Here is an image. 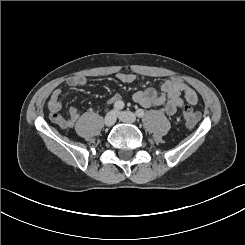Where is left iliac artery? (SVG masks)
<instances>
[{"mask_svg": "<svg viewBox=\"0 0 245 245\" xmlns=\"http://www.w3.org/2000/svg\"><path fill=\"white\" fill-rule=\"evenodd\" d=\"M136 115L141 118V117H143L145 115V112H144L143 109H137L136 110Z\"/></svg>", "mask_w": 245, "mask_h": 245, "instance_id": "left-iliac-artery-1", "label": "left iliac artery"}]
</instances>
